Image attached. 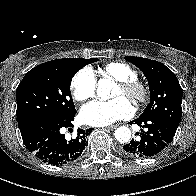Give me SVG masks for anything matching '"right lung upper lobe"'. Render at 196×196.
I'll use <instances>...</instances> for the list:
<instances>
[{
	"instance_id": "1",
	"label": "right lung upper lobe",
	"mask_w": 196,
	"mask_h": 196,
	"mask_svg": "<svg viewBox=\"0 0 196 196\" xmlns=\"http://www.w3.org/2000/svg\"><path fill=\"white\" fill-rule=\"evenodd\" d=\"M82 63H89L92 59L72 58Z\"/></svg>"
}]
</instances>
